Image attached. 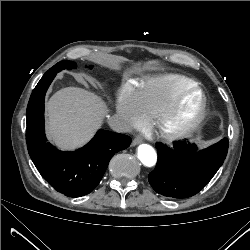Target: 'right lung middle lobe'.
Segmentation results:
<instances>
[{
    "instance_id": "right-lung-middle-lobe-1",
    "label": "right lung middle lobe",
    "mask_w": 250,
    "mask_h": 250,
    "mask_svg": "<svg viewBox=\"0 0 250 250\" xmlns=\"http://www.w3.org/2000/svg\"><path fill=\"white\" fill-rule=\"evenodd\" d=\"M76 67V63L75 62H72V61H68V60H63L59 63H57L56 65H54L52 68H50L45 74H48V73H58L59 71H61L62 69H72ZM90 69L93 68V66H90L89 67Z\"/></svg>"
}]
</instances>
